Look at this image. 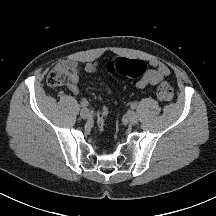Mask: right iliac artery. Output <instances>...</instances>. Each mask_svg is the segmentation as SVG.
I'll return each mask as SVG.
<instances>
[{
  "label": "right iliac artery",
  "mask_w": 216,
  "mask_h": 216,
  "mask_svg": "<svg viewBox=\"0 0 216 216\" xmlns=\"http://www.w3.org/2000/svg\"><path fill=\"white\" fill-rule=\"evenodd\" d=\"M80 106L83 107V108H85V107L88 106V102L84 100V101H82V102L80 103Z\"/></svg>",
  "instance_id": "1"
}]
</instances>
